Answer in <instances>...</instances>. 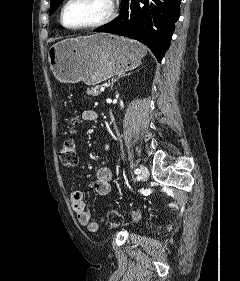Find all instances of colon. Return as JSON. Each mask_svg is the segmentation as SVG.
<instances>
[{
  "label": "colon",
  "instance_id": "1",
  "mask_svg": "<svg viewBox=\"0 0 240 281\" xmlns=\"http://www.w3.org/2000/svg\"><path fill=\"white\" fill-rule=\"evenodd\" d=\"M69 125L74 126L77 124V118L72 115L67 119ZM59 159L65 167H75L78 163V153L76 150L75 142L72 138L66 139L59 151ZM106 224L110 227H116L123 222L122 215L117 210L107 212L104 218Z\"/></svg>",
  "mask_w": 240,
  "mask_h": 281
}]
</instances>
